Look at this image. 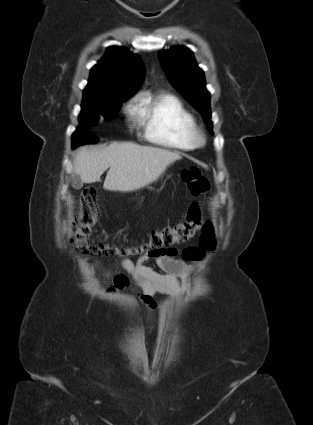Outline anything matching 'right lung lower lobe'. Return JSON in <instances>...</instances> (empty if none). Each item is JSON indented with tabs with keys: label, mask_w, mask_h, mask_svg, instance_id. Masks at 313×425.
Returning a JSON list of instances; mask_svg holds the SVG:
<instances>
[{
	"label": "right lung lower lobe",
	"mask_w": 313,
	"mask_h": 425,
	"mask_svg": "<svg viewBox=\"0 0 313 425\" xmlns=\"http://www.w3.org/2000/svg\"><path fill=\"white\" fill-rule=\"evenodd\" d=\"M73 135H77L79 137L82 138V140L86 143H94L96 142V139L90 135V134H86L84 131H82L81 129L78 130L77 132H75Z\"/></svg>",
	"instance_id": "right-lung-lower-lobe-1"
}]
</instances>
